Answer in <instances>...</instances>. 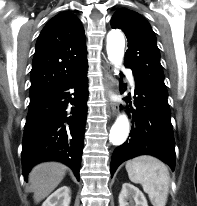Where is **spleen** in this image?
<instances>
[{"label": "spleen", "instance_id": "obj_1", "mask_svg": "<svg viewBox=\"0 0 197 206\" xmlns=\"http://www.w3.org/2000/svg\"><path fill=\"white\" fill-rule=\"evenodd\" d=\"M126 171L131 182L141 184L153 206L167 203L170 175L167 166L152 156H138L127 161Z\"/></svg>", "mask_w": 197, "mask_h": 206}]
</instances>
